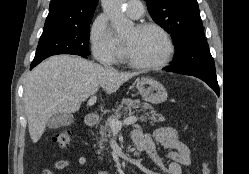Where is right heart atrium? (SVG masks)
<instances>
[{"instance_id":"1","label":"right heart atrium","mask_w":249,"mask_h":174,"mask_svg":"<svg viewBox=\"0 0 249 174\" xmlns=\"http://www.w3.org/2000/svg\"><path fill=\"white\" fill-rule=\"evenodd\" d=\"M92 51L101 63H113L118 57V47L114 42L105 19L99 17L91 28Z\"/></svg>"}]
</instances>
